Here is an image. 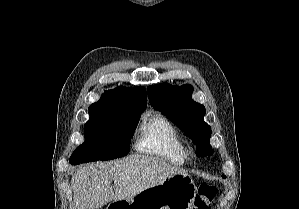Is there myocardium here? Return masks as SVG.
<instances>
[{
    "mask_svg": "<svg viewBox=\"0 0 299 209\" xmlns=\"http://www.w3.org/2000/svg\"><path fill=\"white\" fill-rule=\"evenodd\" d=\"M190 156H191V158H194V154H193V153H191V155H190Z\"/></svg>",
    "mask_w": 299,
    "mask_h": 209,
    "instance_id": "f54148a6",
    "label": "myocardium"
}]
</instances>
